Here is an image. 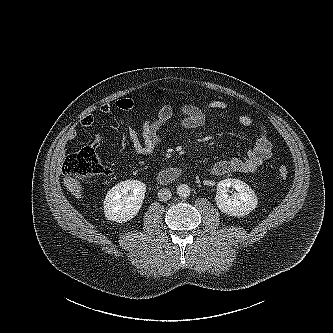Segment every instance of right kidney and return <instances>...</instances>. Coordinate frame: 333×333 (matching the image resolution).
I'll return each mask as SVG.
<instances>
[{"label": "right kidney", "mask_w": 333, "mask_h": 333, "mask_svg": "<svg viewBox=\"0 0 333 333\" xmlns=\"http://www.w3.org/2000/svg\"><path fill=\"white\" fill-rule=\"evenodd\" d=\"M146 185L138 180H125L112 187L104 199L106 219L124 223L134 218L142 204Z\"/></svg>", "instance_id": "obj_1"}]
</instances>
